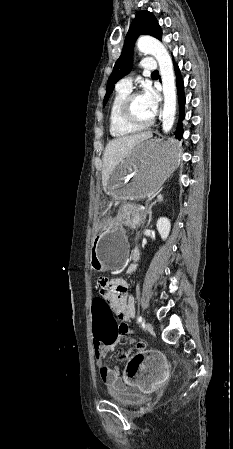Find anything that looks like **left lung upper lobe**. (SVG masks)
<instances>
[{
    "label": "left lung upper lobe",
    "instance_id": "left-lung-upper-lobe-1",
    "mask_svg": "<svg viewBox=\"0 0 233 449\" xmlns=\"http://www.w3.org/2000/svg\"><path fill=\"white\" fill-rule=\"evenodd\" d=\"M151 35L159 40L162 39L161 28L155 16L149 11H140L133 20L123 46V51L116 61L113 72L107 82V91L104 97L103 106L106 105L113 92L114 84L127 75L133 63L134 42L139 35Z\"/></svg>",
    "mask_w": 233,
    "mask_h": 449
}]
</instances>
